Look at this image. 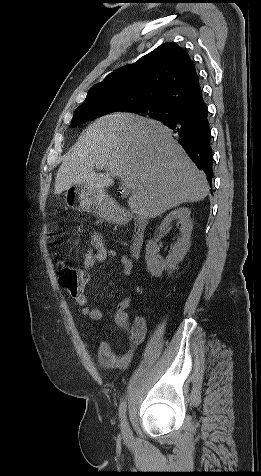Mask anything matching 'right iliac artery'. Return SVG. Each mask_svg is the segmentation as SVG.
<instances>
[{"label": "right iliac artery", "mask_w": 261, "mask_h": 476, "mask_svg": "<svg viewBox=\"0 0 261 476\" xmlns=\"http://www.w3.org/2000/svg\"><path fill=\"white\" fill-rule=\"evenodd\" d=\"M125 414H126V402L125 400H123L119 407V416L121 420H125Z\"/></svg>", "instance_id": "right-iliac-artery-1"}]
</instances>
